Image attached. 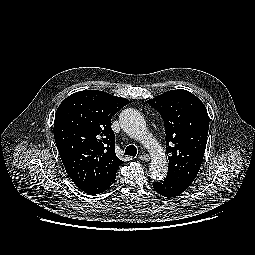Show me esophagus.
I'll return each instance as SVG.
<instances>
[{
  "label": "esophagus",
  "mask_w": 255,
  "mask_h": 255,
  "mask_svg": "<svg viewBox=\"0 0 255 255\" xmlns=\"http://www.w3.org/2000/svg\"><path fill=\"white\" fill-rule=\"evenodd\" d=\"M139 159L144 162H148L150 160V156L148 154H141Z\"/></svg>",
  "instance_id": "esophagus-1"
}]
</instances>
